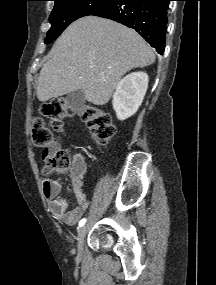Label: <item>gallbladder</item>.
Returning a JSON list of instances; mask_svg holds the SVG:
<instances>
[{
	"instance_id": "1",
	"label": "gallbladder",
	"mask_w": 216,
	"mask_h": 285,
	"mask_svg": "<svg viewBox=\"0 0 216 285\" xmlns=\"http://www.w3.org/2000/svg\"><path fill=\"white\" fill-rule=\"evenodd\" d=\"M65 103L71 110H79L84 106L85 96L81 89L69 93L65 98Z\"/></svg>"
}]
</instances>
